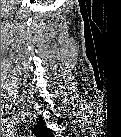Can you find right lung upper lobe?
Wrapping results in <instances>:
<instances>
[{
  "instance_id": "obj_1",
  "label": "right lung upper lobe",
  "mask_w": 121,
  "mask_h": 137,
  "mask_svg": "<svg viewBox=\"0 0 121 137\" xmlns=\"http://www.w3.org/2000/svg\"><path fill=\"white\" fill-rule=\"evenodd\" d=\"M37 134H45L47 133V128L45 127V122L43 118L40 116L37 125L34 126L33 129Z\"/></svg>"
}]
</instances>
